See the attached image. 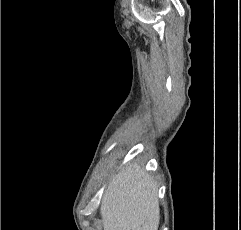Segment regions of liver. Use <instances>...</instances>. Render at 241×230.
<instances>
[{
  "label": "liver",
  "instance_id": "1",
  "mask_svg": "<svg viewBox=\"0 0 241 230\" xmlns=\"http://www.w3.org/2000/svg\"><path fill=\"white\" fill-rule=\"evenodd\" d=\"M104 230H158L160 209L151 177L136 165L108 184L100 207Z\"/></svg>",
  "mask_w": 241,
  "mask_h": 230
}]
</instances>
